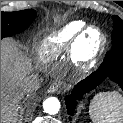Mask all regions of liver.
<instances>
[{
    "label": "liver",
    "mask_w": 123,
    "mask_h": 123,
    "mask_svg": "<svg viewBox=\"0 0 123 123\" xmlns=\"http://www.w3.org/2000/svg\"><path fill=\"white\" fill-rule=\"evenodd\" d=\"M36 68L17 43L1 41V123H15L24 93L20 83Z\"/></svg>",
    "instance_id": "6515ba94"
}]
</instances>
